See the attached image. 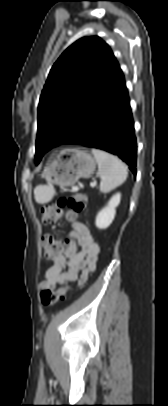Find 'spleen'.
<instances>
[{
  "label": "spleen",
  "instance_id": "obj_1",
  "mask_svg": "<svg viewBox=\"0 0 168 406\" xmlns=\"http://www.w3.org/2000/svg\"><path fill=\"white\" fill-rule=\"evenodd\" d=\"M98 164V176L101 179L100 191L108 193L120 186L127 178L126 165L114 155L99 149H92ZM55 191L51 185H40L35 189L36 199L40 202H47L52 199Z\"/></svg>",
  "mask_w": 168,
  "mask_h": 406
}]
</instances>
